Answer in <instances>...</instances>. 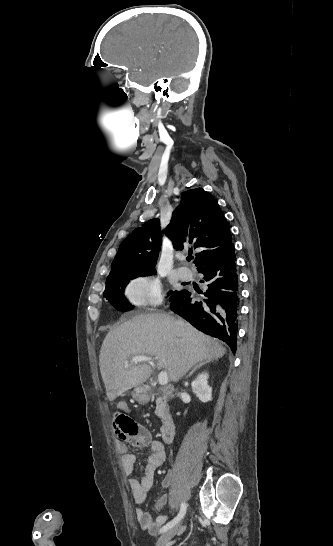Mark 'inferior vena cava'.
<instances>
[{"label": "inferior vena cava", "mask_w": 333, "mask_h": 546, "mask_svg": "<svg viewBox=\"0 0 333 546\" xmlns=\"http://www.w3.org/2000/svg\"><path fill=\"white\" fill-rule=\"evenodd\" d=\"M175 323H176V325H178V326L181 325V321H176Z\"/></svg>", "instance_id": "inferior-vena-cava-1"}]
</instances>
